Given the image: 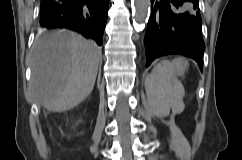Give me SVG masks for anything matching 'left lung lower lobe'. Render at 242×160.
Here are the masks:
<instances>
[{
  "label": "left lung lower lobe",
  "instance_id": "0a47b994",
  "mask_svg": "<svg viewBox=\"0 0 242 160\" xmlns=\"http://www.w3.org/2000/svg\"><path fill=\"white\" fill-rule=\"evenodd\" d=\"M145 35L146 66L158 57L180 54L193 58L203 69L205 44L198 0H151Z\"/></svg>",
  "mask_w": 242,
  "mask_h": 160
}]
</instances>
